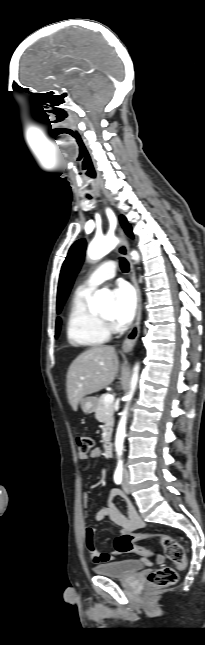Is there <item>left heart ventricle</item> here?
<instances>
[{"label": "left heart ventricle", "mask_w": 205, "mask_h": 645, "mask_svg": "<svg viewBox=\"0 0 205 645\" xmlns=\"http://www.w3.org/2000/svg\"><path fill=\"white\" fill-rule=\"evenodd\" d=\"M102 315H103V316H105V317H107V318H112V316H113V309H112V308L107 309L106 311H104V312L102 313Z\"/></svg>", "instance_id": "left-heart-ventricle-1"}]
</instances>
